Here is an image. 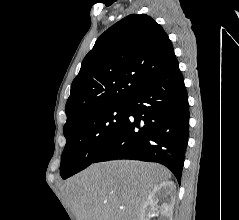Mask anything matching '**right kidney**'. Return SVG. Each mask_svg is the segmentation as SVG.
<instances>
[{"label":"right kidney","instance_id":"1","mask_svg":"<svg viewBox=\"0 0 239 220\" xmlns=\"http://www.w3.org/2000/svg\"><path fill=\"white\" fill-rule=\"evenodd\" d=\"M176 186L172 181H163L149 194L141 211L140 220H150L151 214L157 213L158 220H172ZM162 204L159 206L158 202Z\"/></svg>","mask_w":239,"mask_h":220}]
</instances>
